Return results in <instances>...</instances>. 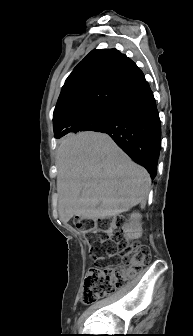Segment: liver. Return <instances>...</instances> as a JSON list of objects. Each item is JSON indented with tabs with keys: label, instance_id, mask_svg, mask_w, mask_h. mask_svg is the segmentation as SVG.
Masks as SVG:
<instances>
[{
	"label": "liver",
	"instance_id": "6515ba94",
	"mask_svg": "<svg viewBox=\"0 0 193 336\" xmlns=\"http://www.w3.org/2000/svg\"><path fill=\"white\" fill-rule=\"evenodd\" d=\"M58 211L97 220L145 204L151 185L145 168L133 162L107 135L81 132L66 138L56 154Z\"/></svg>",
	"mask_w": 193,
	"mask_h": 336
}]
</instances>
